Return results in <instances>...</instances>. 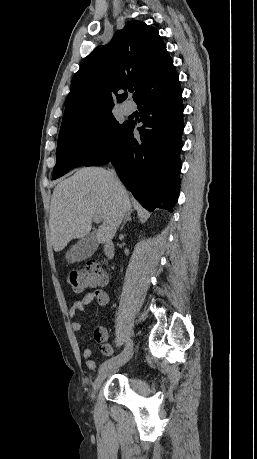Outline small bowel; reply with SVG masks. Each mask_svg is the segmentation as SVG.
<instances>
[{
  "mask_svg": "<svg viewBox=\"0 0 257 459\" xmlns=\"http://www.w3.org/2000/svg\"><path fill=\"white\" fill-rule=\"evenodd\" d=\"M93 301H97L100 306H107L110 302V298L109 295L101 288L90 290L86 292L82 298L73 302L69 310V316L74 318L78 313L86 311ZM71 328L73 331L79 332L82 326L80 322L74 321L71 324ZM94 339L98 343L100 351L104 355H112L113 350L109 344L108 332L103 326H97L95 328ZM82 356L87 368L94 371L96 369V362L93 358L92 350L90 348H85L82 352Z\"/></svg>",
  "mask_w": 257,
  "mask_h": 459,
  "instance_id": "c3829d8e",
  "label": "small bowel"
}]
</instances>
